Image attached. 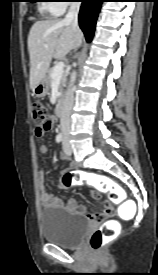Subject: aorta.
Segmentation results:
<instances>
[{"mask_svg": "<svg viewBox=\"0 0 158 275\" xmlns=\"http://www.w3.org/2000/svg\"><path fill=\"white\" fill-rule=\"evenodd\" d=\"M76 78H77V71L74 70L70 76V86L74 84V82L76 81Z\"/></svg>", "mask_w": 158, "mask_h": 275, "instance_id": "aorta-1", "label": "aorta"}]
</instances>
